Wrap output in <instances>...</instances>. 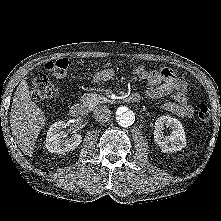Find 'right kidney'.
<instances>
[{
	"instance_id": "obj_1",
	"label": "right kidney",
	"mask_w": 221,
	"mask_h": 221,
	"mask_svg": "<svg viewBox=\"0 0 221 221\" xmlns=\"http://www.w3.org/2000/svg\"><path fill=\"white\" fill-rule=\"evenodd\" d=\"M68 125L69 122L57 121L50 126L45 144L48 151L52 153H66L79 146L82 141L81 135L75 133L71 137L66 138L63 129Z\"/></svg>"
}]
</instances>
